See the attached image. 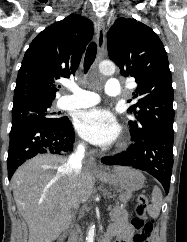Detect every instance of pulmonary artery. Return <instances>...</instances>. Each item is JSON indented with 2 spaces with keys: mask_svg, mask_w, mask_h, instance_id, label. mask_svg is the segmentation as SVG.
I'll return each instance as SVG.
<instances>
[{
  "mask_svg": "<svg viewBox=\"0 0 187 242\" xmlns=\"http://www.w3.org/2000/svg\"><path fill=\"white\" fill-rule=\"evenodd\" d=\"M68 89L72 92L61 98L59 106L63 109H74L89 107L98 103L97 94L91 91L84 90L77 85H70ZM105 93L109 96H118L121 93V84L115 78H110L105 85Z\"/></svg>",
  "mask_w": 187,
  "mask_h": 242,
  "instance_id": "1",
  "label": "pulmonary artery"
}]
</instances>
